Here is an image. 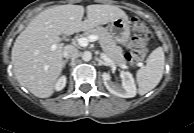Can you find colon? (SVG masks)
<instances>
[{"instance_id":"obj_1","label":"colon","mask_w":194,"mask_h":133,"mask_svg":"<svg viewBox=\"0 0 194 133\" xmlns=\"http://www.w3.org/2000/svg\"><path fill=\"white\" fill-rule=\"evenodd\" d=\"M132 27L134 32L139 36L143 38H148L150 36V31L141 18L134 17L132 19ZM145 55L146 54H141L140 52H138L135 46L129 52L126 53V60L132 65H137L143 60Z\"/></svg>"}]
</instances>
